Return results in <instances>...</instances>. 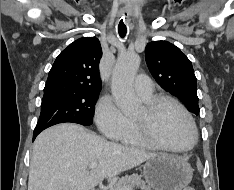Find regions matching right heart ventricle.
<instances>
[{"label":"right heart ventricle","mask_w":234,"mask_h":190,"mask_svg":"<svg viewBox=\"0 0 234 190\" xmlns=\"http://www.w3.org/2000/svg\"><path fill=\"white\" fill-rule=\"evenodd\" d=\"M143 98V97H142ZM153 96L145 97V102L149 101ZM122 144L139 147L151 148L153 145L149 143L140 133L134 118H127V125L118 139Z\"/></svg>","instance_id":"1"}]
</instances>
